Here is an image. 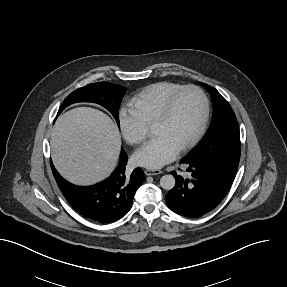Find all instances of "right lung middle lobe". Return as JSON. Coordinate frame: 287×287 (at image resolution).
<instances>
[{
    "mask_svg": "<svg viewBox=\"0 0 287 287\" xmlns=\"http://www.w3.org/2000/svg\"><path fill=\"white\" fill-rule=\"evenodd\" d=\"M125 91V87L108 82L89 84L69 94L63 101L58 114L72 103L94 102L105 107L114 116L119 125V106Z\"/></svg>",
    "mask_w": 287,
    "mask_h": 287,
    "instance_id": "right-lung-middle-lobe-1",
    "label": "right lung middle lobe"
}]
</instances>
